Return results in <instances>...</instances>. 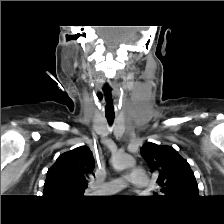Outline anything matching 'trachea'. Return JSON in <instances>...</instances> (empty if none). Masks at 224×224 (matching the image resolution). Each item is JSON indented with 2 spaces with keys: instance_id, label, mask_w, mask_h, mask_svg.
I'll return each instance as SVG.
<instances>
[{
  "instance_id": "trachea-1",
  "label": "trachea",
  "mask_w": 224,
  "mask_h": 224,
  "mask_svg": "<svg viewBox=\"0 0 224 224\" xmlns=\"http://www.w3.org/2000/svg\"><path fill=\"white\" fill-rule=\"evenodd\" d=\"M106 119H107V121H108V123H109L110 125L113 124L114 116H106Z\"/></svg>"
}]
</instances>
